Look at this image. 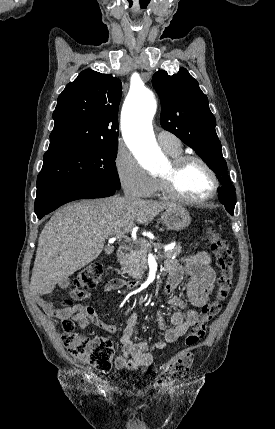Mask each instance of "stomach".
I'll return each instance as SVG.
<instances>
[{"label": "stomach", "instance_id": "obj_1", "mask_svg": "<svg viewBox=\"0 0 275 429\" xmlns=\"http://www.w3.org/2000/svg\"><path fill=\"white\" fill-rule=\"evenodd\" d=\"M161 219L168 229L174 231L185 229L191 221L189 212L179 205L166 208Z\"/></svg>", "mask_w": 275, "mask_h": 429}]
</instances>
